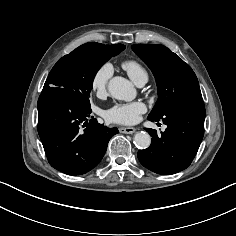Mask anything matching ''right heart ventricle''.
Segmentation results:
<instances>
[{
	"instance_id": "right-heart-ventricle-1",
	"label": "right heart ventricle",
	"mask_w": 236,
	"mask_h": 236,
	"mask_svg": "<svg viewBox=\"0 0 236 236\" xmlns=\"http://www.w3.org/2000/svg\"><path fill=\"white\" fill-rule=\"evenodd\" d=\"M122 67L127 71L128 75L134 82L139 81L140 79L148 80V73L145 68L134 60H127L123 62Z\"/></svg>"
}]
</instances>
